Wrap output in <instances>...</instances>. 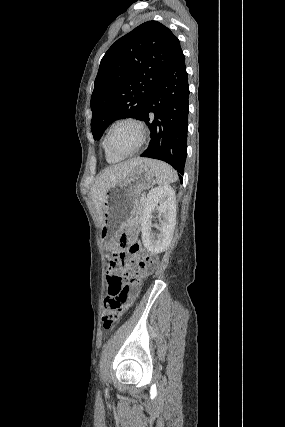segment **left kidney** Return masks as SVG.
I'll use <instances>...</instances> for the list:
<instances>
[{
    "label": "left kidney",
    "mask_w": 285,
    "mask_h": 427,
    "mask_svg": "<svg viewBox=\"0 0 285 427\" xmlns=\"http://www.w3.org/2000/svg\"><path fill=\"white\" fill-rule=\"evenodd\" d=\"M155 209L159 211L163 218L160 233L156 235L151 230L152 212ZM175 224L176 202L174 190L168 185L151 189L147 194L141 219L144 247L154 254L165 251L171 243Z\"/></svg>",
    "instance_id": "left-kidney-1"
}]
</instances>
